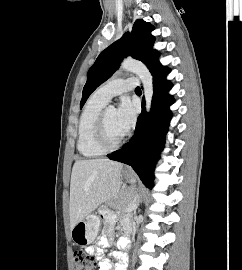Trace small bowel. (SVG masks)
<instances>
[{
  "label": "small bowel",
  "mask_w": 242,
  "mask_h": 270,
  "mask_svg": "<svg viewBox=\"0 0 242 270\" xmlns=\"http://www.w3.org/2000/svg\"><path fill=\"white\" fill-rule=\"evenodd\" d=\"M104 220L107 224L105 232L102 234L97 244L90 246L87 249V252L97 257L99 261V270H125L126 256L123 252H114L110 257H105L103 255V249L109 247L113 243L112 230L118 219L111 213H105ZM120 224L122 233L128 235L131 231L130 220L127 218L121 219ZM127 245V238H122L118 241V246L120 248H125ZM112 259L117 261V264L114 266L112 264Z\"/></svg>",
  "instance_id": "obj_1"
}]
</instances>
